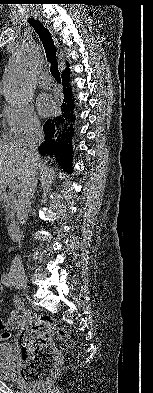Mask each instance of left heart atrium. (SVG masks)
<instances>
[{
    "instance_id": "1",
    "label": "left heart atrium",
    "mask_w": 153,
    "mask_h": 393,
    "mask_svg": "<svg viewBox=\"0 0 153 393\" xmlns=\"http://www.w3.org/2000/svg\"><path fill=\"white\" fill-rule=\"evenodd\" d=\"M54 109H55V102L51 95L42 94L38 98V110L41 115L48 116L54 111Z\"/></svg>"
}]
</instances>
